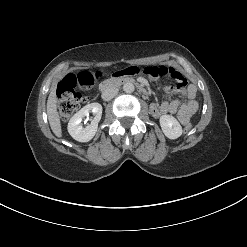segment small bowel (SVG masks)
Masks as SVG:
<instances>
[{
  "label": "small bowel",
  "instance_id": "1",
  "mask_svg": "<svg viewBox=\"0 0 247 247\" xmlns=\"http://www.w3.org/2000/svg\"><path fill=\"white\" fill-rule=\"evenodd\" d=\"M116 76L141 75L157 80L161 77H169L175 81V84L166 87L169 93L178 92L186 98V102L179 100H168L161 104L153 103L150 106L151 114L159 118L168 114H177L178 120L182 125L190 121L198 110L196 101V90L191 84H188L183 74L172 66L167 65H148L144 67L129 66L115 73Z\"/></svg>",
  "mask_w": 247,
  "mask_h": 247
}]
</instances>
